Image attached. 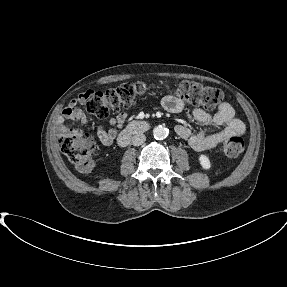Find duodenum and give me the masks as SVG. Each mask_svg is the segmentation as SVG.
Listing matches in <instances>:
<instances>
[{"label": "duodenum", "instance_id": "obj_1", "mask_svg": "<svg viewBox=\"0 0 287 287\" xmlns=\"http://www.w3.org/2000/svg\"><path fill=\"white\" fill-rule=\"evenodd\" d=\"M149 129V123L143 120H133L119 134L118 142L124 146L129 143L133 135L141 134Z\"/></svg>", "mask_w": 287, "mask_h": 287}]
</instances>
